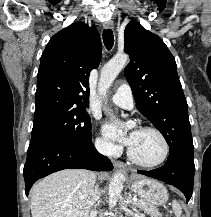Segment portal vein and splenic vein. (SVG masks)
Returning <instances> with one entry per match:
<instances>
[{"mask_svg":"<svg viewBox=\"0 0 211 217\" xmlns=\"http://www.w3.org/2000/svg\"><path fill=\"white\" fill-rule=\"evenodd\" d=\"M133 201H134V202H137L138 200H137V199H135V198H133Z\"/></svg>","mask_w":211,"mask_h":217,"instance_id":"portal-vein-and-splenic-vein-1","label":"portal vein and splenic vein"}]
</instances>
